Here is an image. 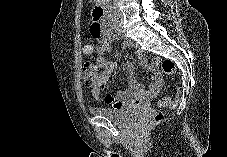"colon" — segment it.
I'll list each match as a JSON object with an SVG mask.
<instances>
[{
    "instance_id": "1",
    "label": "colon",
    "mask_w": 227,
    "mask_h": 157,
    "mask_svg": "<svg viewBox=\"0 0 227 157\" xmlns=\"http://www.w3.org/2000/svg\"><path fill=\"white\" fill-rule=\"evenodd\" d=\"M93 16H96L95 12L93 13ZM92 34L96 38L100 36V32H92ZM161 68L163 73L167 76H172L176 73L175 64L169 59H165L162 61ZM83 73L86 85L91 86L94 84L99 74V68L91 62H85L83 65ZM174 105L175 102L169 96L163 97L158 101V106L161 108L173 107ZM162 119L163 114L161 113L156 114L154 117L155 122H160Z\"/></svg>"
}]
</instances>
